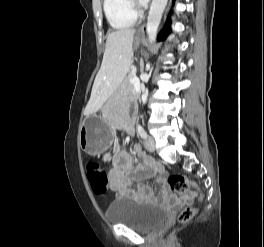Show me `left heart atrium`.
Instances as JSON below:
<instances>
[{
    "mask_svg": "<svg viewBox=\"0 0 264 247\" xmlns=\"http://www.w3.org/2000/svg\"><path fill=\"white\" fill-rule=\"evenodd\" d=\"M140 4L144 5L148 2V0H138Z\"/></svg>",
    "mask_w": 264,
    "mask_h": 247,
    "instance_id": "39dd6f15",
    "label": "left heart atrium"
}]
</instances>
